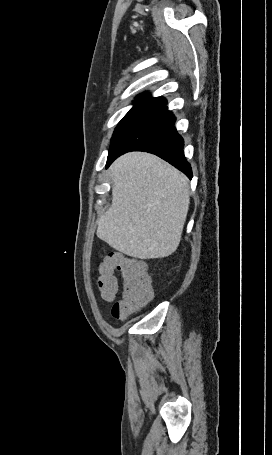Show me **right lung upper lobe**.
<instances>
[{
  "label": "right lung upper lobe",
  "instance_id": "right-lung-upper-lobe-1",
  "mask_svg": "<svg viewBox=\"0 0 272 455\" xmlns=\"http://www.w3.org/2000/svg\"><path fill=\"white\" fill-rule=\"evenodd\" d=\"M137 101H149V102H159L166 104V99L163 97L153 98L148 93L140 94L136 97Z\"/></svg>",
  "mask_w": 272,
  "mask_h": 455
}]
</instances>
